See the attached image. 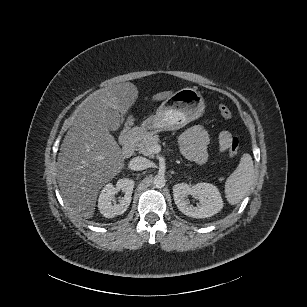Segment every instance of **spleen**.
Returning a JSON list of instances; mask_svg holds the SVG:
<instances>
[{
	"instance_id": "3e777b00",
	"label": "spleen",
	"mask_w": 307,
	"mask_h": 307,
	"mask_svg": "<svg viewBox=\"0 0 307 307\" xmlns=\"http://www.w3.org/2000/svg\"><path fill=\"white\" fill-rule=\"evenodd\" d=\"M255 188L253 161L244 155L235 171L226 180V196L230 203H238L248 192Z\"/></svg>"
}]
</instances>
